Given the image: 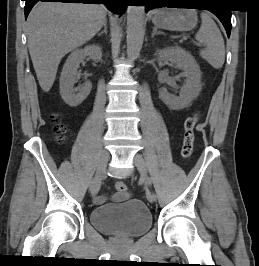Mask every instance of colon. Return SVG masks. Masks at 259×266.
Returning <instances> with one entry per match:
<instances>
[{"label":"colon","mask_w":259,"mask_h":266,"mask_svg":"<svg viewBox=\"0 0 259 266\" xmlns=\"http://www.w3.org/2000/svg\"><path fill=\"white\" fill-rule=\"evenodd\" d=\"M52 121L55 123V132L59 142L65 141L66 127L59 122L58 116L53 114L51 116ZM199 115L193 114L189 116L184 122V133L181 147V156L183 158H189L192 155L194 142H195V133L194 129L198 123ZM115 189L118 193H126L127 185L123 181H118L115 183Z\"/></svg>","instance_id":"colon-1"}]
</instances>
